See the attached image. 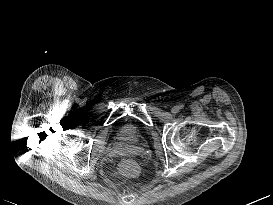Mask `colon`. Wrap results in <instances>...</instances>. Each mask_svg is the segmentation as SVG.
I'll return each mask as SVG.
<instances>
[{"mask_svg": "<svg viewBox=\"0 0 273 205\" xmlns=\"http://www.w3.org/2000/svg\"><path fill=\"white\" fill-rule=\"evenodd\" d=\"M119 170L122 176L132 177L137 173L138 167L137 164L133 161H124L120 165Z\"/></svg>", "mask_w": 273, "mask_h": 205, "instance_id": "1", "label": "colon"}]
</instances>
